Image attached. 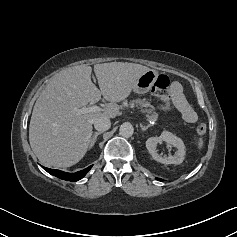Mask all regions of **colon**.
I'll return each mask as SVG.
<instances>
[{
	"label": "colon",
	"mask_w": 237,
	"mask_h": 237,
	"mask_svg": "<svg viewBox=\"0 0 237 237\" xmlns=\"http://www.w3.org/2000/svg\"><path fill=\"white\" fill-rule=\"evenodd\" d=\"M152 92L162 99L166 105V108L172 109L171 105V88H170V81L167 76L159 75L152 87ZM197 133L199 135L198 146L201 148L204 145V135L207 131V126L205 122H199L196 127Z\"/></svg>",
	"instance_id": "1"
}]
</instances>
